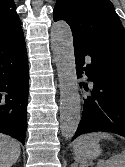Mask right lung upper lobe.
<instances>
[{
  "instance_id": "obj_1",
  "label": "right lung upper lobe",
  "mask_w": 125,
  "mask_h": 167,
  "mask_svg": "<svg viewBox=\"0 0 125 167\" xmlns=\"http://www.w3.org/2000/svg\"><path fill=\"white\" fill-rule=\"evenodd\" d=\"M23 32L13 0H0V38Z\"/></svg>"
}]
</instances>
